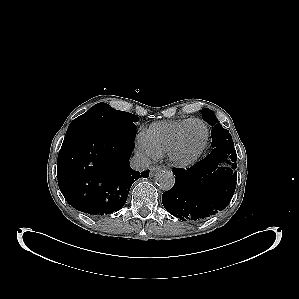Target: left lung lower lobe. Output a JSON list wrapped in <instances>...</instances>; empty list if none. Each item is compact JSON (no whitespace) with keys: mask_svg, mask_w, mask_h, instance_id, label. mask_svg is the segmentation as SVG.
I'll return each mask as SVG.
<instances>
[{"mask_svg":"<svg viewBox=\"0 0 299 299\" xmlns=\"http://www.w3.org/2000/svg\"><path fill=\"white\" fill-rule=\"evenodd\" d=\"M226 158L231 167L219 168ZM236 160L234 143H222L192 167L174 169L175 184L162 195L165 209L183 221L202 220L223 210L236 188Z\"/></svg>","mask_w":299,"mask_h":299,"instance_id":"left-lung-lower-lobe-1","label":"left lung lower lobe"}]
</instances>
